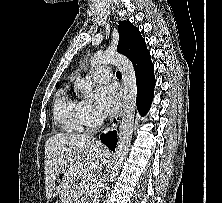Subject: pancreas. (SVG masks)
Wrapping results in <instances>:
<instances>
[{
	"instance_id": "pancreas-1",
	"label": "pancreas",
	"mask_w": 222,
	"mask_h": 203,
	"mask_svg": "<svg viewBox=\"0 0 222 203\" xmlns=\"http://www.w3.org/2000/svg\"><path fill=\"white\" fill-rule=\"evenodd\" d=\"M85 182L79 184L76 186L75 191H74V198L77 202L75 203H91L95 196L96 193L93 191L86 192L83 188V184ZM94 189V188H93Z\"/></svg>"
}]
</instances>
